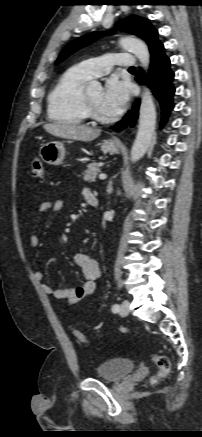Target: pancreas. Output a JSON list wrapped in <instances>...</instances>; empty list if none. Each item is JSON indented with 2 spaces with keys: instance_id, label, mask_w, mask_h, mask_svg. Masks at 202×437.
Here are the masks:
<instances>
[{
  "instance_id": "1",
  "label": "pancreas",
  "mask_w": 202,
  "mask_h": 437,
  "mask_svg": "<svg viewBox=\"0 0 202 437\" xmlns=\"http://www.w3.org/2000/svg\"><path fill=\"white\" fill-rule=\"evenodd\" d=\"M100 172V166L98 163H90L87 169L82 173L83 180L86 182H95L96 176Z\"/></svg>"
}]
</instances>
